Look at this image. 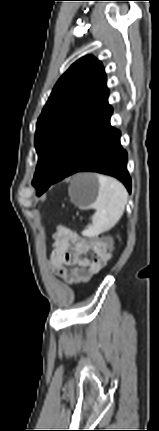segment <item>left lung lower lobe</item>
I'll list each match as a JSON object with an SVG mask.
<instances>
[{"label": "left lung lower lobe", "instance_id": "obj_1", "mask_svg": "<svg viewBox=\"0 0 159 431\" xmlns=\"http://www.w3.org/2000/svg\"><path fill=\"white\" fill-rule=\"evenodd\" d=\"M112 112L110 106L105 113L78 132L51 184L76 172L92 171L118 178L131 192L127 152L121 147L120 131L110 125ZM44 191L37 194L41 195Z\"/></svg>", "mask_w": 159, "mask_h": 431}]
</instances>
